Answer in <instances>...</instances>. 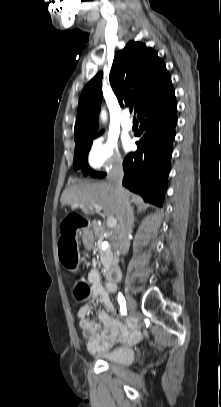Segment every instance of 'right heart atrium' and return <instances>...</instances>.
Wrapping results in <instances>:
<instances>
[{
	"mask_svg": "<svg viewBox=\"0 0 221 407\" xmlns=\"http://www.w3.org/2000/svg\"><path fill=\"white\" fill-rule=\"evenodd\" d=\"M87 164L92 170H110L122 165V157L114 139L106 136L96 137L87 153Z\"/></svg>",
	"mask_w": 221,
	"mask_h": 407,
	"instance_id": "right-heart-atrium-1",
	"label": "right heart atrium"
}]
</instances>
